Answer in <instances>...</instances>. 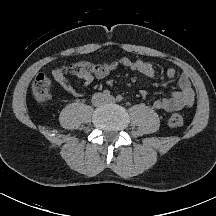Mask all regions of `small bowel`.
Segmentation results:
<instances>
[{"label":"small bowel","instance_id":"c3829d8e","mask_svg":"<svg viewBox=\"0 0 216 216\" xmlns=\"http://www.w3.org/2000/svg\"><path fill=\"white\" fill-rule=\"evenodd\" d=\"M119 65L130 68L131 70L149 78L155 76V68L150 62L143 59L131 60L127 57H122L111 62L109 65H106L103 69L94 74H78L80 85L84 88L90 87L95 80L106 77ZM52 75L55 81L66 93L75 96L82 94L80 87L71 83L66 78L63 68H55L52 71ZM166 76L170 79L175 78L176 69L174 67L168 68ZM178 88L177 91L172 92L168 97L155 100L153 103L154 108L166 112L190 108L194 104L195 94L190 79L186 74H182L178 78ZM139 93L143 98L149 96L148 91L145 89H141Z\"/></svg>","mask_w":216,"mask_h":216}]
</instances>
